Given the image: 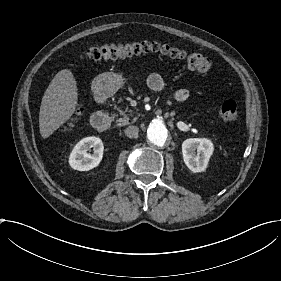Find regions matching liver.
Instances as JSON below:
<instances>
[{"label": "liver", "instance_id": "6515ba94", "mask_svg": "<svg viewBox=\"0 0 281 281\" xmlns=\"http://www.w3.org/2000/svg\"><path fill=\"white\" fill-rule=\"evenodd\" d=\"M79 88L74 74L69 69L59 71L42 98L39 127L43 139L49 138L76 113Z\"/></svg>", "mask_w": 281, "mask_h": 281}]
</instances>
